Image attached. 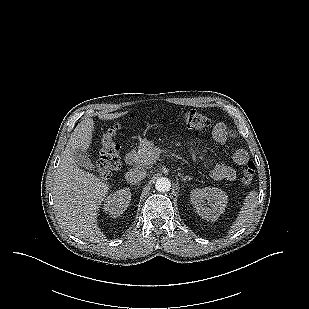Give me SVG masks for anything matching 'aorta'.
Here are the masks:
<instances>
[{
	"label": "aorta",
	"instance_id": "762f6f07",
	"mask_svg": "<svg viewBox=\"0 0 309 309\" xmlns=\"http://www.w3.org/2000/svg\"><path fill=\"white\" fill-rule=\"evenodd\" d=\"M155 188L159 192H167L171 188V182L168 178L161 177L157 179L155 183Z\"/></svg>",
	"mask_w": 309,
	"mask_h": 309
}]
</instances>
